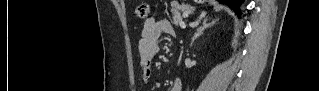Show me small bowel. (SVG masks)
Returning a JSON list of instances; mask_svg holds the SVG:
<instances>
[{
	"mask_svg": "<svg viewBox=\"0 0 319 91\" xmlns=\"http://www.w3.org/2000/svg\"><path fill=\"white\" fill-rule=\"evenodd\" d=\"M172 35L174 29L170 21L166 18H148L143 26L141 37L138 42L139 64L142 72L143 81L147 82L152 76V64L159 53L158 39L163 34ZM182 84L180 79L172 82L170 91H181Z\"/></svg>",
	"mask_w": 319,
	"mask_h": 91,
	"instance_id": "obj_1",
	"label": "small bowel"
}]
</instances>
